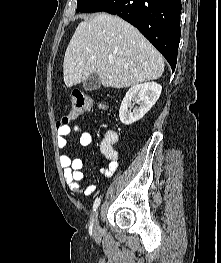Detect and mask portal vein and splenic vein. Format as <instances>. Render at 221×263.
Here are the masks:
<instances>
[{
    "label": "portal vein and splenic vein",
    "mask_w": 221,
    "mask_h": 263,
    "mask_svg": "<svg viewBox=\"0 0 221 263\" xmlns=\"http://www.w3.org/2000/svg\"><path fill=\"white\" fill-rule=\"evenodd\" d=\"M113 61L112 60H109V63H112Z\"/></svg>",
    "instance_id": "18ae733b"
}]
</instances>
